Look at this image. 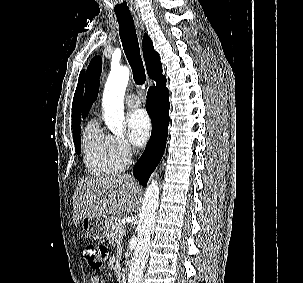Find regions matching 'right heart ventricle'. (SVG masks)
Returning a JSON list of instances; mask_svg holds the SVG:
<instances>
[{
    "label": "right heart ventricle",
    "instance_id": "obj_1",
    "mask_svg": "<svg viewBox=\"0 0 303 283\" xmlns=\"http://www.w3.org/2000/svg\"><path fill=\"white\" fill-rule=\"evenodd\" d=\"M84 162L88 171L96 177H112L120 173L124 163L116 155L110 135L99 129L91 120L83 133Z\"/></svg>",
    "mask_w": 303,
    "mask_h": 283
}]
</instances>
